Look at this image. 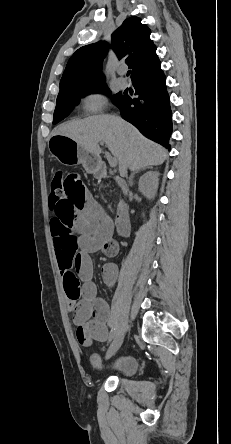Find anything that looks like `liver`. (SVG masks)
<instances>
[{"instance_id": "liver-1", "label": "liver", "mask_w": 231, "mask_h": 444, "mask_svg": "<svg viewBox=\"0 0 231 444\" xmlns=\"http://www.w3.org/2000/svg\"><path fill=\"white\" fill-rule=\"evenodd\" d=\"M53 135H65L86 151L100 157L99 143H105L119 163V171H136L160 165L167 158V150L145 138L134 126L120 117L96 115L69 121L54 129Z\"/></svg>"}]
</instances>
